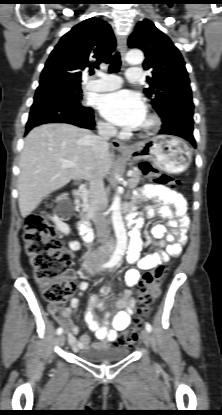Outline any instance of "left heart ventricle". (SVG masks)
Instances as JSON below:
<instances>
[{
	"label": "left heart ventricle",
	"mask_w": 222,
	"mask_h": 415,
	"mask_svg": "<svg viewBox=\"0 0 222 415\" xmlns=\"http://www.w3.org/2000/svg\"><path fill=\"white\" fill-rule=\"evenodd\" d=\"M145 122H146V119L144 118L140 126L144 125Z\"/></svg>",
	"instance_id": "b2bd125f"
}]
</instances>
